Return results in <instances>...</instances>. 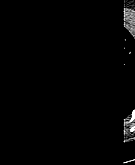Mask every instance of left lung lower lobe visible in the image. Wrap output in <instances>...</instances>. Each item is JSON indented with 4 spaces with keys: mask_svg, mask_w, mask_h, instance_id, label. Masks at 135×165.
<instances>
[{
    "mask_svg": "<svg viewBox=\"0 0 135 165\" xmlns=\"http://www.w3.org/2000/svg\"><path fill=\"white\" fill-rule=\"evenodd\" d=\"M135 106L122 93L103 88L99 98L91 95L83 97L78 103V110L83 118L93 124L107 127L123 122Z\"/></svg>",
    "mask_w": 135,
    "mask_h": 165,
    "instance_id": "obj_1",
    "label": "left lung lower lobe"
}]
</instances>
